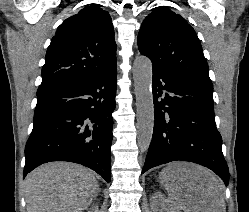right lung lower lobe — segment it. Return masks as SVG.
Listing matches in <instances>:
<instances>
[{"instance_id":"obj_1","label":"right lung lower lobe","mask_w":249,"mask_h":212,"mask_svg":"<svg viewBox=\"0 0 249 212\" xmlns=\"http://www.w3.org/2000/svg\"><path fill=\"white\" fill-rule=\"evenodd\" d=\"M116 65L92 79L37 94L24 177L51 161L82 164L110 182Z\"/></svg>"}]
</instances>
